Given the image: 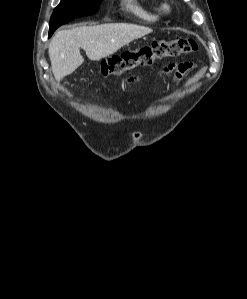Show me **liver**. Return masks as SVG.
<instances>
[{
  "label": "liver",
  "mask_w": 247,
  "mask_h": 299,
  "mask_svg": "<svg viewBox=\"0 0 247 299\" xmlns=\"http://www.w3.org/2000/svg\"><path fill=\"white\" fill-rule=\"evenodd\" d=\"M152 31L151 28L128 23L81 26L58 31L49 45L54 77L60 80L82 65L84 58L80 48L90 60L98 61Z\"/></svg>",
  "instance_id": "6515ba94"
}]
</instances>
